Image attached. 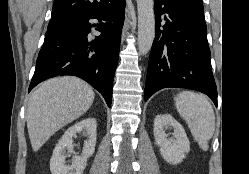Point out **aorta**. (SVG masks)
<instances>
[{
	"label": "aorta",
	"mask_w": 249,
	"mask_h": 174,
	"mask_svg": "<svg viewBox=\"0 0 249 174\" xmlns=\"http://www.w3.org/2000/svg\"><path fill=\"white\" fill-rule=\"evenodd\" d=\"M138 11V50L146 55L155 38L154 0H136Z\"/></svg>",
	"instance_id": "obj_1"
}]
</instances>
